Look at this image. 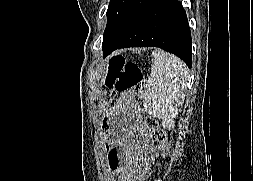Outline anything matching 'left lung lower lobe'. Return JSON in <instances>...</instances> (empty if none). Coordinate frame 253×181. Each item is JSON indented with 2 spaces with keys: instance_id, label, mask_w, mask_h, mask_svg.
<instances>
[{
  "instance_id": "left-lung-lower-lobe-1",
  "label": "left lung lower lobe",
  "mask_w": 253,
  "mask_h": 181,
  "mask_svg": "<svg viewBox=\"0 0 253 181\" xmlns=\"http://www.w3.org/2000/svg\"><path fill=\"white\" fill-rule=\"evenodd\" d=\"M155 46L192 64L191 33L178 0H132L103 39L104 57L126 47Z\"/></svg>"
}]
</instances>
